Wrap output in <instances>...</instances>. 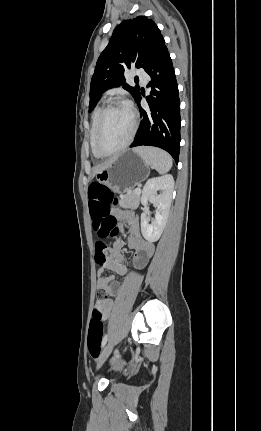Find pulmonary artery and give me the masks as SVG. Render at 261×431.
Masks as SVG:
<instances>
[{
  "label": "pulmonary artery",
  "mask_w": 261,
  "mask_h": 431,
  "mask_svg": "<svg viewBox=\"0 0 261 431\" xmlns=\"http://www.w3.org/2000/svg\"><path fill=\"white\" fill-rule=\"evenodd\" d=\"M134 76H137L142 81V83H144V84H146L148 82V75L143 70H140V69L135 70Z\"/></svg>",
  "instance_id": "pulmonary-artery-1"
}]
</instances>
